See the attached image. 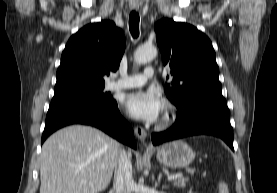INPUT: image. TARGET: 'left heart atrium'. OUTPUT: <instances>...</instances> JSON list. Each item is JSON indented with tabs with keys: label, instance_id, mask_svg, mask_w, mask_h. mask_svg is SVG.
<instances>
[{
	"label": "left heart atrium",
	"instance_id": "39dd6f15",
	"mask_svg": "<svg viewBox=\"0 0 277 193\" xmlns=\"http://www.w3.org/2000/svg\"><path fill=\"white\" fill-rule=\"evenodd\" d=\"M123 105L131 117L146 122L156 121L164 109L162 99L152 90H140L127 94Z\"/></svg>",
	"mask_w": 277,
	"mask_h": 193
}]
</instances>
